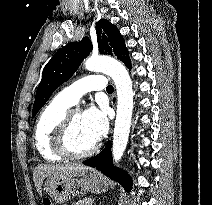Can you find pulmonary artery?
<instances>
[{
    "label": "pulmonary artery",
    "mask_w": 212,
    "mask_h": 205,
    "mask_svg": "<svg viewBox=\"0 0 212 205\" xmlns=\"http://www.w3.org/2000/svg\"><path fill=\"white\" fill-rule=\"evenodd\" d=\"M106 79L101 74L88 75L73 84L63 88L57 95L59 99L69 105L75 104L81 96L94 91L106 89Z\"/></svg>",
    "instance_id": "e3ab8cb5"
}]
</instances>
